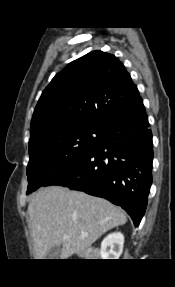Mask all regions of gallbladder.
Returning <instances> with one entry per match:
<instances>
[{"label":"gallbladder","mask_w":175,"mask_h":287,"mask_svg":"<svg viewBox=\"0 0 175 287\" xmlns=\"http://www.w3.org/2000/svg\"><path fill=\"white\" fill-rule=\"evenodd\" d=\"M62 245L53 246L47 253L46 259H57L61 253Z\"/></svg>","instance_id":"bac80fb5"}]
</instances>
